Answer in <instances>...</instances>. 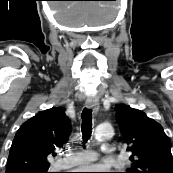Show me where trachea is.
I'll list each match as a JSON object with an SVG mask.
<instances>
[{
  "instance_id": "trachea-1",
  "label": "trachea",
  "mask_w": 173,
  "mask_h": 173,
  "mask_svg": "<svg viewBox=\"0 0 173 173\" xmlns=\"http://www.w3.org/2000/svg\"><path fill=\"white\" fill-rule=\"evenodd\" d=\"M82 124H81V131H82V139L83 142H87L92 133V111L91 109L84 108L82 111Z\"/></svg>"
}]
</instances>
